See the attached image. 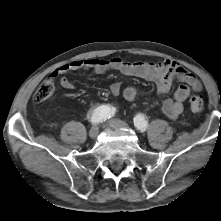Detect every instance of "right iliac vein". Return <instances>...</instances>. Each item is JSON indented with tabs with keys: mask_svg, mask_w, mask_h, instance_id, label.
Segmentation results:
<instances>
[{
	"mask_svg": "<svg viewBox=\"0 0 221 221\" xmlns=\"http://www.w3.org/2000/svg\"><path fill=\"white\" fill-rule=\"evenodd\" d=\"M98 133H99V127L97 125H94L89 130V137L95 139L98 136Z\"/></svg>",
	"mask_w": 221,
	"mask_h": 221,
	"instance_id": "obj_1",
	"label": "right iliac vein"
}]
</instances>
